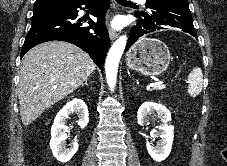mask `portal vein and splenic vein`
Wrapping results in <instances>:
<instances>
[{"label": "portal vein and splenic vein", "mask_w": 227, "mask_h": 166, "mask_svg": "<svg viewBox=\"0 0 227 166\" xmlns=\"http://www.w3.org/2000/svg\"><path fill=\"white\" fill-rule=\"evenodd\" d=\"M162 82H152L150 83V87H154V86H158L160 85Z\"/></svg>", "instance_id": "18ae733b"}]
</instances>
